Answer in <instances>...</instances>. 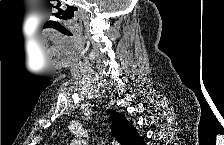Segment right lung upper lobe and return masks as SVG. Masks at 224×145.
<instances>
[{"mask_svg":"<svg viewBox=\"0 0 224 145\" xmlns=\"http://www.w3.org/2000/svg\"><path fill=\"white\" fill-rule=\"evenodd\" d=\"M108 112L113 121L111 131L118 142L121 145H139L142 138L137 133L136 128L120 113L114 110H108Z\"/></svg>","mask_w":224,"mask_h":145,"instance_id":"1","label":"right lung upper lobe"}]
</instances>
